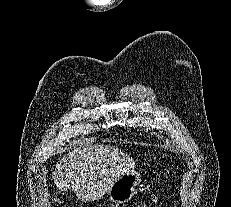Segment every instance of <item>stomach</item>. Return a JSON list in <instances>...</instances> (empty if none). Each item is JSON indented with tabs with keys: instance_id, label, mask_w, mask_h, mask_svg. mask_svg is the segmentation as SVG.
<instances>
[{
	"instance_id": "stomach-1",
	"label": "stomach",
	"mask_w": 231,
	"mask_h": 207,
	"mask_svg": "<svg viewBox=\"0 0 231 207\" xmlns=\"http://www.w3.org/2000/svg\"><path fill=\"white\" fill-rule=\"evenodd\" d=\"M140 182V175L137 172L128 171L122 174L108 190L109 200L117 204L128 202L137 193Z\"/></svg>"
}]
</instances>
